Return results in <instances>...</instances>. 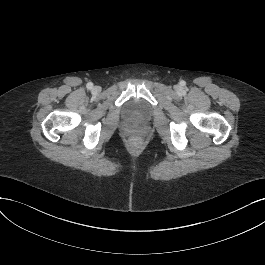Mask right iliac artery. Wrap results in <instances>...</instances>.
<instances>
[{
	"instance_id": "obj_1",
	"label": "right iliac artery",
	"mask_w": 265,
	"mask_h": 265,
	"mask_svg": "<svg viewBox=\"0 0 265 265\" xmlns=\"http://www.w3.org/2000/svg\"><path fill=\"white\" fill-rule=\"evenodd\" d=\"M87 89L91 90L93 88V83L89 82L86 85Z\"/></svg>"
}]
</instances>
